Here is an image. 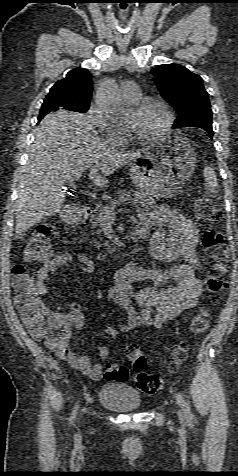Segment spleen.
Segmentation results:
<instances>
[{
  "label": "spleen",
  "instance_id": "spleen-1",
  "mask_svg": "<svg viewBox=\"0 0 238 476\" xmlns=\"http://www.w3.org/2000/svg\"><path fill=\"white\" fill-rule=\"evenodd\" d=\"M204 176H205V183L208 188V193L212 197H216L218 193V181H217V175L213 168L211 167H206L204 169Z\"/></svg>",
  "mask_w": 238,
  "mask_h": 476
}]
</instances>
